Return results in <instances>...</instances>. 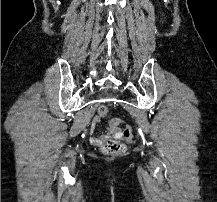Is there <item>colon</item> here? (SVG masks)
<instances>
[{"mask_svg": "<svg viewBox=\"0 0 217 202\" xmlns=\"http://www.w3.org/2000/svg\"><path fill=\"white\" fill-rule=\"evenodd\" d=\"M108 114V110L106 108V104H99V109H98V115L101 118H105ZM122 118H114L111 122L108 121L107 125L108 126H122L123 123ZM132 128L131 127H124L123 131V139L121 138H116L115 140H110L104 145V152L108 155L116 156L119 155L123 149H124V144L122 141H131L133 140V135L131 133Z\"/></svg>", "mask_w": 217, "mask_h": 202, "instance_id": "5ec220e1", "label": "colon"}]
</instances>
